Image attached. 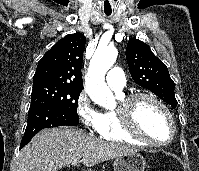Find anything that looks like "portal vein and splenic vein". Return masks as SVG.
<instances>
[{
    "label": "portal vein and splenic vein",
    "instance_id": "obj_1",
    "mask_svg": "<svg viewBox=\"0 0 199 171\" xmlns=\"http://www.w3.org/2000/svg\"><path fill=\"white\" fill-rule=\"evenodd\" d=\"M79 162H80V159H75V160L72 161L71 164H72L73 166H75V165H77Z\"/></svg>",
    "mask_w": 199,
    "mask_h": 171
}]
</instances>
